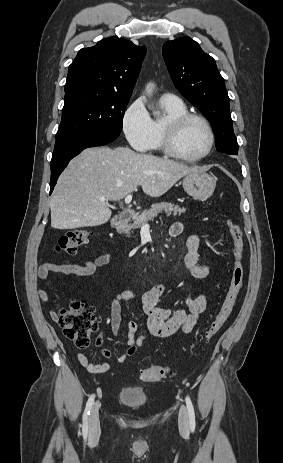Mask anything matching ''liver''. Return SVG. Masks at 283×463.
Masks as SVG:
<instances>
[{
  "label": "liver",
  "instance_id": "1",
  "mask_svg": "<svg viewBox=\"0 0 283 463\" xmlns=\"http://www.w3.org/2000/svg\"><path fill=\"white\" fill-rule=\"evenodd\" d=\"M201 171L127 147L87 148L58 179L50 202L51 226L63 230L105 224L112 215L108 201L123 199L138 185L150 197H160L180 178Z\"/></svg>",
  "mask_w": 283,
  "mask_h": 463
}]
</instances>
